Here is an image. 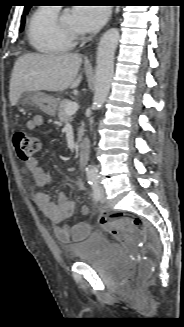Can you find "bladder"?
Here are the masks:
<instances>
[{"label": "bladder", "mask_w": 184, "mask_h": 327, "mask_svg": "<svg viewBox=\"0 0 184 327\" xmlns=\"http://www.w3.org/2000/svg\"><path fill=\"white\" fill-rule=\"evenodd\" d=\"M67 250L76 262L93 263L104 254H109L119 262L120 266L126 267L128 264L123 254L101 232H89L85 240L67 246Z\"/></svg>", "instance_id": "obj_1"}]
</instances>
